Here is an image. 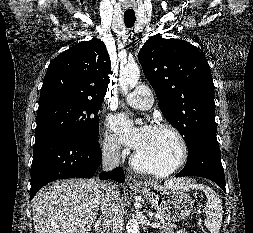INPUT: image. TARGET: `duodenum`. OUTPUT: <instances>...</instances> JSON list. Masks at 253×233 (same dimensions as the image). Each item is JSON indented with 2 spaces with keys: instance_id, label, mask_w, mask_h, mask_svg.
<instances>
[{
  "instance_id": "duodenum-1",
  "label": "duodenum",
  "mask_w": 253,
  "mask_h": 233,
  "mask_svg": "<svg viewBox=\"0 0 253 233\" xmlns=\"http://www.w3.org/2000/svg\"><path fill=\"white\" fill-rule=\"evenodd\" d=\"M106 227H107V225H106L105 222H100L99 223V232L98 233H105Z\"/></svg>"
}]
</instances>
